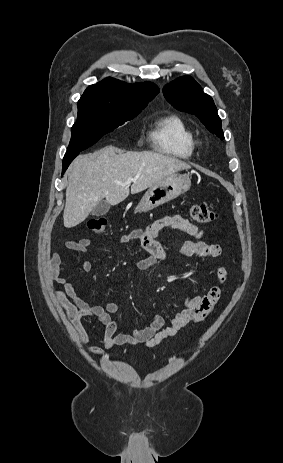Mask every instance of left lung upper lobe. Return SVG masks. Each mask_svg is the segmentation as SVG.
I'll return each instance as SVG.
<instances>
[{
  "instance_id": "left-lung-upper-lobe-1",
  "label": "left lung upper lobe",
  "mask_w": 283,
  "mask_h": 463,
  "mask_svg": "<svg viewBox=\"0 0 283 463\" xmlns=\"http://www.w3.org/2000/svg\"><path fill=\"white\" fill-rule=\"evenodd\" d=\"M163 94L175 108L196 115L210 132L224 138L213 99L192 77L176 79L164 87Z\"/></svg>"
}]
</instances>
